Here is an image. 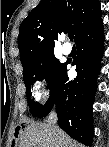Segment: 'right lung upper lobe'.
<instances>
[{"mask_svg":"<svg viewBox=\"0 0 109 147\" xmlns=\"http://www.w3.org/2000/svg\"><path fill=\"white\" fill-rule=\"evenodd\" d=\"M101 14L99 0H41L20 25L23 68L53 52L62 33L72 32L76 40Z\"/></svg>","mask_w":109,"mask_h":147,"instance_id":"1","label":"right lung upper lobe"}]
</instances>
